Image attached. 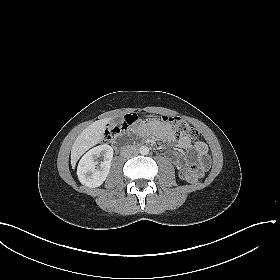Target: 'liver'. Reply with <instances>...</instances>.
Segmentation results:
<instances>
[{"instance_id":"liver-1","label":"liver","mask_w":280,"mask_h":280,"mask_svg":"<svg viewBox=\"0 0 280 280\" xmlns=\"http://www.w3.org/2000/svg\"><path fill=\"white\" fill-rule=\"evenodd\" d=\"M112 118L101 119L85 128L75 139L71 148V165L74 168L78 159L91 147L99 143Z\"/></svg>"}]
</instances>
